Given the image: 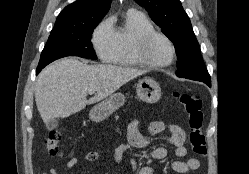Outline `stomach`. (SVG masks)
<instances>
[{
    "label": "stomach",
    "mask_w": 249,
    "mask_h": 174,
    "mask_svg": "<svg viewBox=\"0 0 249 174\" xmlns=\"http://www.w3.org/2000/svg\"><path fill=\"white\" fill-rule=\"evenodd\" d=\"M137 96L146 103H155L161 97V88L153 79H142L137 84ZM125 102L122 93H114L108 99L102 101L90 111V119L100 122L119 109Z\"/></svg>",
    "instance_id": "1"
}]
</instances>
